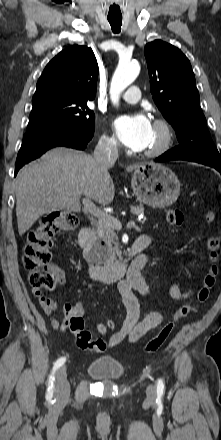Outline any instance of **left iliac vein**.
I'll return each instance as SVG.
<instances>
[{
  "mask_svg": "<svg viewBox=\"0 0 221 440\" xmlns=\"http://www.w3.org/2000/svg\"><path fill=\"white\" fill-rule=\"evenodd\" d=\"M147 397L149 398V399H154V397H155V390H154V387L152 386V385H150L148 388H147Z\"/></svg>",
  "mask_w": 221,
  "mask_h": 440,
  "instance_id": "obj_1",
  "label": "left iliac vein"
}]
</instances>
